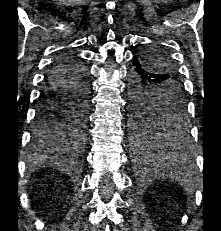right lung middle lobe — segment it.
Returning a JSON list of instances; mask_svg holds the SVG:
<instances>
[{
    "label": "right lung middle lobe",
    "instance_id": "1",
    "mask_svg": "<svg viewBox=\"0 0 221 231\" xmlns=\"http://www.w3.org/2000/svg\"><path fill=\"white\" fill-rule=\"evenodd\" d=\"M87 110L88 99L82 96L48 106L45 112L48 116L46 125L38 134L39 137L51 143L63 135L81 143L84 138Z\"/></svg>",
    "mask_w": 221,
    "mask_h": 231
}]
</instances>
